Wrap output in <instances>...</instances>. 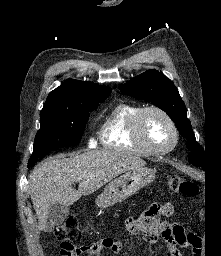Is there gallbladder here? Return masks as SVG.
<instances>
[{"mask_svg": "<svg viewBox=\"0 0 221 256\" xmlns=\"http://www.w3.org/2000/svg\"><path fill=\"white\" fill-rule=\"evenodd\" d=\"M69 215V208L64 205L54 204L48 214L49 222L45 227V231L51 232L54 226L61 225Z\"/></svg>", "mask_w": 221, "mask_h": 256, "instance_id": "bac80fb5", "label": "gallbladder"}]
</instances>
